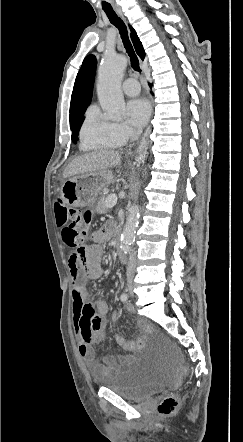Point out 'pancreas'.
I'll return each mask as SVG.
<instances>
[{
	"label": "pancreas",
	"instance_id": "cf45deb5",
	"mask_svg": "<svg viewBox=\"0 0 243 442\" xmlns=\"http://www.w3.org/2000/svg\"><path fill=\"white\" fill-rule=\"evenodd\" d=\"M111 195H109L108 197H102L100 200H99V202L97 203V206H96V211L98 212V213H106L108 210H109V208L106 206V203H107V199L110 197Z\"/></svg>",
	"mask_w": 243,
	"mask_h": 442
}]
</instances>
